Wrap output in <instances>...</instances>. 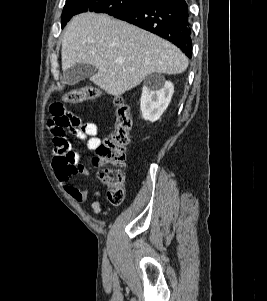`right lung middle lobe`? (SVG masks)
<instances>
[{"instance_id": "1", "label": "right lung middle lobe", "mask_w": 267, "mask_h": 301, "mask_svg": "<svg viewBox=\"0 0 267 301\" xmlns=\"http://www.w3.org/2000/svg\"><path fill=\"white\" fill-rule=\"evenodd\" d=\"M144 3L142 0H66L62 12V27L76 14L94 11L115 16Z\"/></svg>"}]
</instances>
